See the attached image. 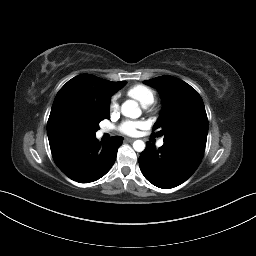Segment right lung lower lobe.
Here are the masks:
<instances>
[{"mask_svg": "<svg viewBox=\"0 0 256 256\" xmlns=\"http://www.w3.org/2000/svg\"><path fill=\"white\" fill-rule=\"evenodd\" d=\"M122 142L123 137L114 136L102 143L95 134L49 140L58 168L79 183L93 182L103 177L114 164Z\"/></svg>", "mask_w": 256, "mask_h": 256, "instance_id": "98d812e1", "label": "right lung lower lobe"}]
</instances>
